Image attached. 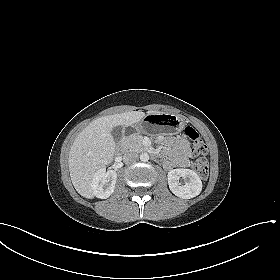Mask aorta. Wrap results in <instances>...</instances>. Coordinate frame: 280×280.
Segmentation results:
<instances>
[{"mask_svg": "<svg viewBox=\"0 0 280 280\" xmlns=\"http://www.w3.org/2000/svg\"><path fill=\"white\" fill-rule=\"evenodd\" d=\"M140 160H141L142 162H147V161L149 160V155H148V153H141V154H140Z\"/></svg>", "mask_w": 280, "mask_h": 280, "instance_id": "aorta-1", "label": "aorta"}]
</instances>
